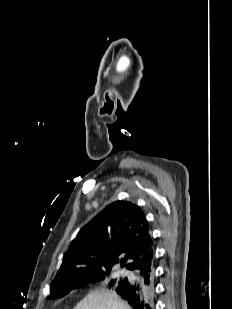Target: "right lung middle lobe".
I'll return each instance as SVG.
<instances>
[{
	"instance_id": "dd1d6c3e",
	"label": "right lung middle lobe",
	"mask_w": 232,
	"mask_h": 309,
	"mask_svg": "<svg viewBox=\"0 0 232 309\" xmlns=\"http://www.w3.org/2000/svg\"><path fill=\"white\" fill-rule=\"evenodd\" d=\"M110 271L111 270H101L97 272L84 274L70 281L58 282L54 286L50 287V296L59 295L60 297H63L75 287L86 285L88 283L104 281L105 277L109 276ZM124 279L125 278L111 279V280H107V282L110 287H116Z\"/></svg>"
}]
</instances>
